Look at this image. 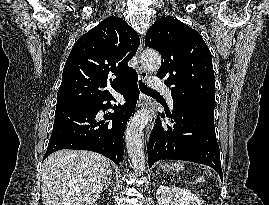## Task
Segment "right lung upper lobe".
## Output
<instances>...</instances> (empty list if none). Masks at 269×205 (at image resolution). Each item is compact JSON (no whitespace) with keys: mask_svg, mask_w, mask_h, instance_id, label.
<instances>
[{"mask_svg":"<svg viewBox=\"0 0 269 205\" xmlns=\"http://www.w3.org/2000/svg\"><path fill=\"white\" fill-rule=\"evenodd\" d=\"M140 44L137 32L123 19L111 16L82 35L65 63L57 93V107L82 104L111 95L137 73L127 65ZM111 80V79H110Z\"/></svg>","mask_w":269,"mask_h":205,"instance_id":"right-lung-upper-lobe-1","label":"right lung upper lobe"}]
</instances>
